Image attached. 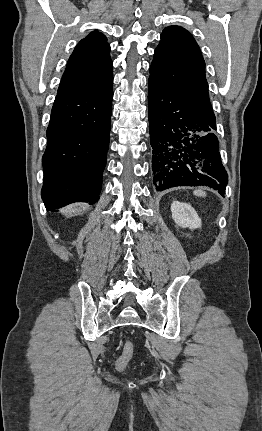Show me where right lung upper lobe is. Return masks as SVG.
Listing matches in <instances>:
<instances>
[{
  "label": "right lung upper lobe",
  "instance_id": "right-lung-upper-lobe-1",
  "mask_svg": "<svg viewBox=\"0 0 262 431\" xmlns=\"http://www.w3.org/2000/svg\"><path fill=\"white\" fill-rule=\"evenodd\" d=\"M106 37L91 32L70 56L57 95H98L112 88L113 69Z\"/></svg>",
  "mask_w": 262,
  "mask_h": 431
}]
</instances>
